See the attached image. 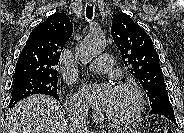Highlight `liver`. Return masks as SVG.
<instances>
[{"instance_id":"1","label":"liver","mask_w":184,"mask_h":133,"mask_svg":"<svg viewBox=\"0 0 184 133\" xmlns=\"http://www.w3.org/2000/svg\"><path fill=\"white\" fill-rule=\"evenodd\" d=\"M5 133H72L60 103L52 97L33 95L9 110Z\"/></svg>"}]
</instances>
